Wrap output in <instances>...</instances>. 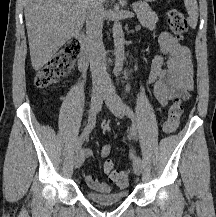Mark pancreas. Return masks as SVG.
<instances>
[{
    "label": "pancreas",
    "instance_id": "obj_1",
    "mask_svg": "<svg viewBox=\"0 0 216 217\" xmlns=\"http://www.w3.org/2000/svg\"><path fill=\"white\" fill-rule=\"evenodd\" d=\"M135 12L140 24L143 27L154 29L158 21L157 15L152 11L147 3L139 2L135 4Z\"/></svg>",
    "mask_w": 216,
    "mask_h": 217
}]
</instances>
